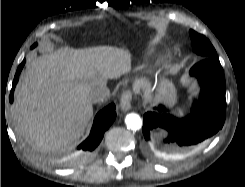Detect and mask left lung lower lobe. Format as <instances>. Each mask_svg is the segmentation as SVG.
<instances>
[{"label":"left lung lower lobe","mask_w":245,"mask_h":187,"mask_svg":"<svg viewBox=\"0 0 245 187\" xmlns=\"http://www.w3.org/2000/svg\"><path fill=\"white\" fill-rule=\"evenodd\" d=\"M190 75L197 77L200 85V99L194 103L190 115L176 119L166 114L164 106L145 113L143 134L150 138V130L166 129L170 135L165 142H177L179 146H192L207 140L222 127L226 116L225 78L217 56L204 58L195 64Z\"/></svg>","instance_id":"left-lung-lower-lobe-1"}]
</instances>
